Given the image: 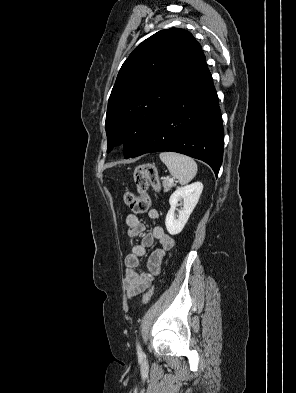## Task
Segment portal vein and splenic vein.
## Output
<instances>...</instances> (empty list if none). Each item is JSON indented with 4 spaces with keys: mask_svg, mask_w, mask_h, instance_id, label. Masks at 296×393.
I'll return each instance as SVG.
<instances>
[{
    "mask_svg": "<svg viewBox=\"0 0 296 393\" xmlns=\"http://www.w3.org/2000/svg\"><path fill=\"white\" fill-rule=\"evenodd\" d=\"M169 182L173 183V182H174V180H173L172 178H170V179H169Z\"/></svg>",
    "mask_w": 296,
    "mask_h": 393,
    "instance_id": "1",
    "label": "portal vein and splenic vein"
}]
</instances>
